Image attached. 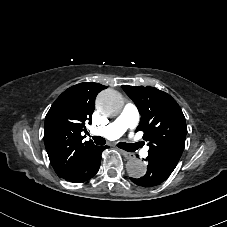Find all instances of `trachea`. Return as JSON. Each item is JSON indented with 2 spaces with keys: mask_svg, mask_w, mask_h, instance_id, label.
Listing matches in <instances>:
<instances>
[{
  "mask_svg": "<svg viewBox=\"0 0 227 227\" xmlns=\"http://www.w3.org/2000/svg\"><path fill=\"white\" fill-rule=\"evenodd\" d=\"M94 142L97 145L102 146L106 143V140L104 138H102L101 136H95ZM118 147L121 148V149H124L126 151L133 152V151L137 150L140 147V145L139 144H128V143L121 142V143L118 144Z\"/></svg>",
  "mask_w": 227,
  "mask_h": 227,
  "instance_id": "3493384b",
  "label": "trachea"
}]
</instances>
